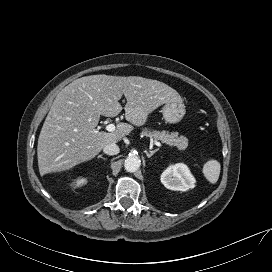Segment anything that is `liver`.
Masks as SVG:
<instances>
[{
	"label": "liver",
	"mask_w": 272,
	"mask_h": 272,
	"mask_svg": "<svg viewBox=\"0 0 272 272\" xmlns=\"http://www.w3.org/2000/svg\"><path fill=\"white\" fill-rule=\"evenodd\" d=\"M126 98L125 119L114 132L96 129L100 116L115 117ZM182 101L167 84L139 76L91 75L74 80L56 96L41 129L37 158L40 175L60 172L94 158L109 143L145 124L159 106Z\"/></svg>",
	"instance_id": "liver-1"
}]
</instances>
